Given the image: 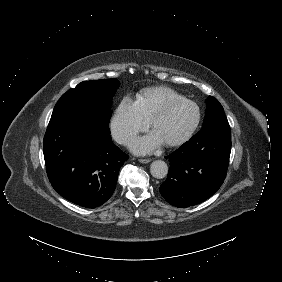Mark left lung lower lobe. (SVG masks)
Here are the masks:
<instances>
[{"mask_svg":"<svg viewBox=\"0 0 282 282\" xmlns=\"http://www.w3.org/2000/svg\"><path fill=\"white\" fill-rule=\"evenodd\" d=\"M231 151L228 121L206 126L166 157L170 162L160 193L173 206L186 208L211 197L222 185Z\"/></svg>","mask_w":282,"mask_h":282,"instance_id":"left-lung-lower-lobe-1","label":"left lung lower lobe"}]
</instances>
